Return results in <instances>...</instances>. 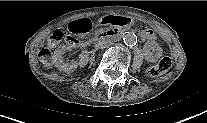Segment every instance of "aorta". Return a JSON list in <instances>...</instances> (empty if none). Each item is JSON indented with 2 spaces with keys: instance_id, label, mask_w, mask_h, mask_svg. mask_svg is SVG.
I'll list each match as a JSON object with an SVG mask.
<instances>
[{
  "instance_id": "762f6f07",
  "label": "aorta",
  "mask_w": 207,
  "mask_h": 123,
  "mask_svg": "<svg viewBox=\"0 0 207 123\" xmlns=\"http://www.w3.org/2000/svg\"><path fill=\"white\" fill-rule=\"evenodd\" d=\"M124 43L126 45L132 46L137 42V37L133 32H126L123 36Z\"/></svg>"
}]
</instances>
